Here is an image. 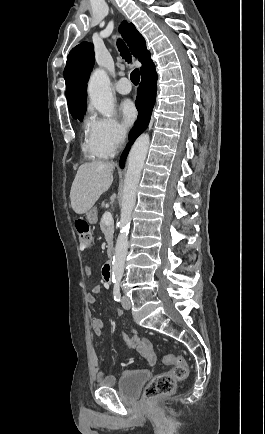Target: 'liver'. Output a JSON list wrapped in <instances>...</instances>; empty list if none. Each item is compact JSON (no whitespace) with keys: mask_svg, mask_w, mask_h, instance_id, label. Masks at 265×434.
<instances>
[{"mask_svg":"<svg viewBox=\"0 0 265 434\" xmlns=\"http://www.w3.org/2000/svg\"><path fill=\"white\" fill-rule=\"evenodd\" d=\"M115 170L111 162H89L80 166L70 192L71 206L76 214L91 210L101 194L109 190Z\"/></svg>","mask_w":265,"mask_h":434,"instance_id":"6515ba94","label":"liver"}]
</instances>
